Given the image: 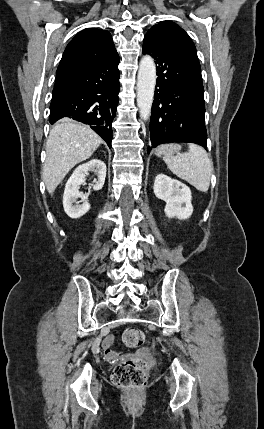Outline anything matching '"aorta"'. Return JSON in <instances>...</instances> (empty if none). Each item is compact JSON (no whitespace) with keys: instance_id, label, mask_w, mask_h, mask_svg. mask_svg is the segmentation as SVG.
I'll return each mask as SVG.
<instances>
[{"instance_id":"762f6f07","label":"aorta","mask_w":264,"mask_h":429,"mask_svg":"<svg viewBox=\"0 0 264 429\" xmlns=\"http://www.w3.org/2000/svg\"><path fill=\"white\" fill-rule=\"evenodd\" d=\"M156 84V67L151 56H144L139 64L137 76V106L141 119L148 120Z\"/></svg>"}]
</instances>
